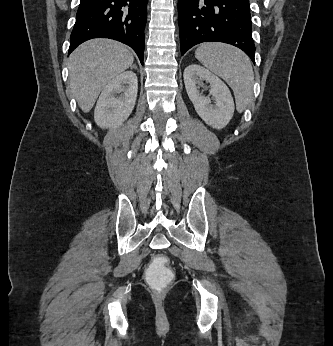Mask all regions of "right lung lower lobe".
I'll return each instance as SVG.
<instances>
[{
    "label": "right lung lower lobe",
    "mask_w": 333,
    "mask_h": 346,
    "mask_svg": "<svg viewBox=\"0 0 333 346\" xmlns=\"http://www.w3.org/2000/svg\"><path fill=\"white\" fill-rule=\"evenodd\" d=\"M148 0H80L69 54L92 38H110L130 46L143 64Z\"/></svg>",
    "instance_id": "right-lung-lower-lobe-1"
}]
</instances>
